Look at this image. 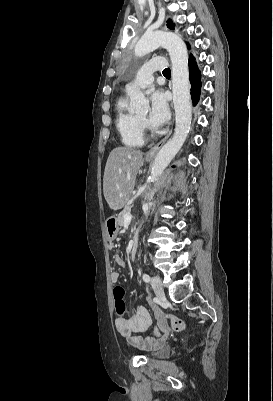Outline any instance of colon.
Returning <instances> with one entry per match:
<instances>
[{"label": "colon", "instance_id": "obj_1", "mask_svg": "<svg viewBox=\"0 0 273 401\" xmlns=\"http://www.w3.org/2000/svg\"><path fill=\"white\" fill-rule=\"evenodd\" d=\"M124 287L121 285L115 286L113 290L114 310L115 315L119 319H123L126 314V307L124 302Z\"/></svg>", "mask_w": 273, "mask_h": 401}]
</instances>
